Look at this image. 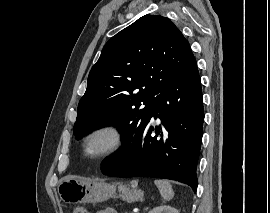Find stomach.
<instances>
[{"label": "stomach", "mask_w": 270, "mask_h": 213, "mask_svg": "<svg viewBox=\"0 0 270 213\" xmlns=\"http://www.w3.org/2000/svg\"><path fill=\"white\" fill-rule=\"evenodd\" d=\"M117 184L97 179H85L76 176L63 178L58 185V194L65 203L102 202L116 195ZM123 200L134 202L142 200L143 191L128 189L120 195Z\"/></svg>", "instance_id": "1"}]
</instances>
